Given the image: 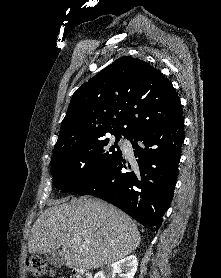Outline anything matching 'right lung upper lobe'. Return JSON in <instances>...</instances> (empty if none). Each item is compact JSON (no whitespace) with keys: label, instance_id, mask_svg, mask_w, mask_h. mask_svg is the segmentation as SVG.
<instances>
[{"label":"right lung upper lobe","instance_id":"obj_1","mask_svg":"<svg viewBox=\"0 0 221 278\" xmlns=\"http://www.w3.org/2000/svg\"><path fill=\"white\" fill-rule=\"evenodd\" d=\"M183 115L171 82L147 62L123 56L72 96L54 151L106 133H132Z\"/></svg>","mask_w":221,"mask_h":278}]
</instances>
